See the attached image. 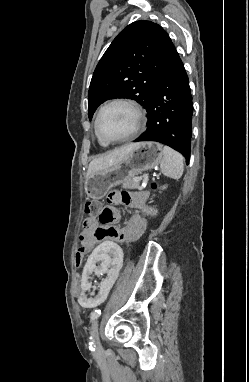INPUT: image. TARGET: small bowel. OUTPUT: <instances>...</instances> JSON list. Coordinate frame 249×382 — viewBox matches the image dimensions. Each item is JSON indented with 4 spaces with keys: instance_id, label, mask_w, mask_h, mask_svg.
<instances>
[{
    "instance_id": "obj_1",
    "label": "small bowel",
    "mask_w": 249,
    "mask_h": 382,
    "mask_svg": "<svg viewBox=\"0 0 249 382\" xmlns=\"http://www.w3.org/2000/svg\"><path fill=\"white\" fill-rule=\"evenodd\" d=\"M107 200L111 206L105 207L100 215L89 216L83 221V230L79 235L80 249L83 250V253L92 249L101 240L135 241L144 234L147 228L145 215L151 212L147 203V194L112 191ZM116 206H127L137 210L130 214L127 224L123 228L116 226L120 220V213Z\"/></svg>"
}]
</instances>
